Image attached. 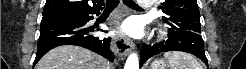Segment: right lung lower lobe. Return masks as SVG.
Instances as JSON below:
<instances>
[{"label":"right lung lower lobe","mask_w":246,"mask_h":69,"mask_svg":"<svg viewBox=\"0 0 246 69\" xmlns=\"http://www.w3.org/2000/svg\"><path fill=\"white\" fill-rule=\"evenodd\" d=\"M92 14L99 15L100 10L57 12L43 16L35 63L49 50L61 45L82 46L112 62L115 55L109 48L111 39L93 36L92 32L99 31V29L86 25L93 19Z\"/></svg>","instance_id":"98d812e1"}]
</instances>
